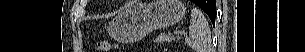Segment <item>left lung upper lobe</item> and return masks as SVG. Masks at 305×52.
I'll return each mask as SVG.
<instances>
[{"instance_id":"obj_1","label":"left lung upper lobe","mask_w":305,"mask_h":52,"mask_svg":"<svg viewBox=\"0 0 305 52\" xmlns=\"http://www.w3.org/2000/svg\"><path fill=\"white\" fill-rule=\"evenodd\" d=\"M206 0H196V4L198 5V6H200V5H203V3L205 2Z\"/></svg>"}]
</instances>
